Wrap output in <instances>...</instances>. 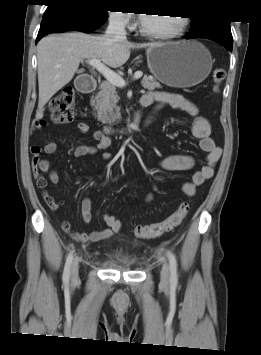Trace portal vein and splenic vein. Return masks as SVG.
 Instances as JSON below:
<instances>
[{
  "label": "portal vein and splenic vein",
  "mask_w": 261,
  "mask_h": 355,
  "mask_svg": "<svg viewBox=\"0 0 261 355\" xmlns=\"http://www.w3.org/2000/svg\"><path fill=\"white\" fill-rule=\"evenodd\" d=\"M87 63L95 68L98 72H100L104 78L117 87H124L126 85V81L117 73L108 68L105 64H103L99 59L93 58L87 61ZM142 77V72L137 71L134 73L133 80H137Z\"/></svg>",
  "instance_id": "obj_1"
}]
</instances>
